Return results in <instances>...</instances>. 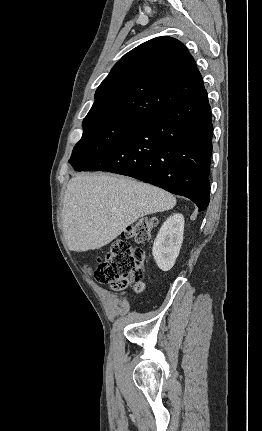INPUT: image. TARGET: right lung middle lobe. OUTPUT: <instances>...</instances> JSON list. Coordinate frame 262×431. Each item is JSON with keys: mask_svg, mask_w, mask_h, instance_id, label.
<instances>
[{"mask_svg": "<svg viewBox=\"0 0 262 431\" xmlns=\"http://www.w3.org/2000/svg\"><path fill=\"white\" fill-rule=\"evenodd\" d=\"M137 123L112 121L83 124L82 138L74 147L69 163L76 171H83L121 140Z\"/></svg>", "mask_w": 262, "mask_h": 431, "instance_id": "right-lung-middle-lobe-1", "label": "right lung middle lobe"}]
</instances>
